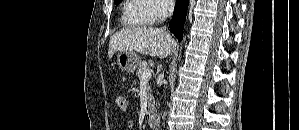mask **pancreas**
Instances as JSON below:
<instances>
[{
    "mask_svg": "<svg viewBox=\"0 0 299 130\" xmlns=\"http://www.w3.org/2000/svg\"><path fill=\"white\" fill-rule=\"evenodd\" d=\"M149 69V64L145 61H142L139 63L138 70L136 72V75L138 76L139 80L141 81V75L144 71ZM147 92H148V107L149 112H151V109L154 107V97L152 95V91L149 85H147Z\"/></svg>",
    "mask_w": 299,
    "mask_h": 130,
    "instance_id": "1",
    "label": "pancreas"
}]
</instances>
